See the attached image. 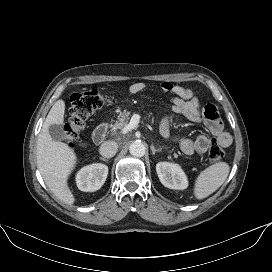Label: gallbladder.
<instances>
[{
    "instance_id": "obj_1",
    "label": "gallbladder",
    "mask_w": 272,
    "mask_h": 272,
    "mask_svg": "<svg viewBox=\"0 0 272 272\" xmlns=\"http://www.w3.org/2000/svg\"><path fill=\"white\" fill-rule=\"evenodd\" d=\"M49 133L53 140L55 141H70L71 138L65 133L63 128L59 125H51L49 127Z\"/></svg>"
}]
</instances>
